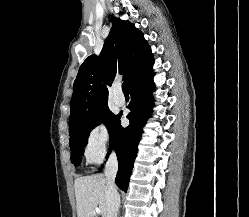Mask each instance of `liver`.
<instances>
[{
	"label": "liver",
	"mask_w": 249,
	"mask_h": 217,
	"mask_svg": "<svg viewBox=\"0 0 249 217\" xmlns=\"http://www.w3.org/2000/svg\"><path fill=\"white\" fill-rule=\"evenodd\" d=\"M78 217H96L95 208L103 217H110L106 205V179L102 174L79 177L74 182Z\"/></svg>",
	"instance_id": "obj_1"
}]
</instances>
